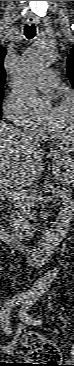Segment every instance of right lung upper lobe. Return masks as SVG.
I'll list each match as a JSON object with an SVG mask.
<instances>
[{
	"label": "right lung upper lobe",
	"mask_w": 74,
	"mask_h": 366,
	"mask_svg": "<svg viewBox=\"0 0 74 366\" xmlns=\"http://www.w3.org/2000/svg\"><path fill=\"white\" fill-rule=\"evenodd\" d=\"M5 54H6V49L4 47L0 46V92L2 91L4 82H5V78H6L5 70L3 67V61H4Z\"/></svg>",
	"instance_id": "right-lung-upper-lobe-1"
}]
</instances>
